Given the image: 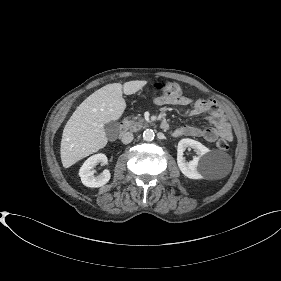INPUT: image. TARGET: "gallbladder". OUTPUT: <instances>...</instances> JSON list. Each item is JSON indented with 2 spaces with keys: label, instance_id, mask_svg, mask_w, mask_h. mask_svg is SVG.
<instances>
[{
  "label": "gallbladder",
  "instance_id": "bac80fb5",
  "mask_svg": "<svg viewBox=\"0 0 281 281\" xmlns=\"http://www.w3.org/2000/svg\"><path fill=\"white\" fill-rule=\"evenodd\" d=\"M104 129L107 137L116 136L118 132V123L111 121L104 125Z\"/></svg>",
  "mask_w": 281,
  "mask_h": 281
}]
</instances>
